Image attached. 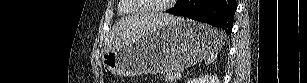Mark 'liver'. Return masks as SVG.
Instances as JSON below:
<instances>
[{"mask_svg": "<svg viewBox=\"0 0 307 83\" xmlns=\"http://www.w3.org/2000/svg\"><path fill=\"white\" fill-rule=\"evenodd\" d=\"M176 18L168 14H136L119 20L111 32V48L121 47L146 35L159 26L173 22Z\"/></svg>", "mask_w": 307, "mask_h": 83, "instance_id": "obj_1", "label": "liver"}]
</instances>
